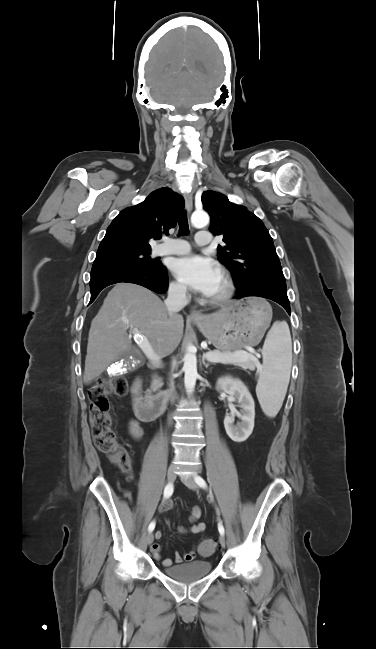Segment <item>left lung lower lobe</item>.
<instances>
[{
	"label": "left lung lower lobe",
	"mask_w": 376,
	"mask_h": 649,
	"mask_svg": "<svg viewBox=\"0 0 376 649\" xmlns=\"http://www.w3.org/2000/svg\"><path fill=\"white\" fill-rule=\"evenodd\" d=\"M248 296H257L273 300L285 308L290 315V303L287 297V291L279 289L274 285L263 281H256L253 286H250L245 290H240L234 298L241 299Z\"/></svg>",
	"instance_id": "obj_1"
}]
</instances>
